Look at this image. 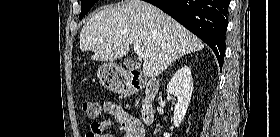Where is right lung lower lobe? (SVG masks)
<instances>
[{
    "label": "right lung lower lobe",
    "instance_id": "obj_1",
    "mask_svg": "<svg viewBox=\"0 0 280 137\" xmlns=\"http://www.w3.org/2000/svg\"><path fill=\"white\" fill-rule=\"evenodd\" d=\"M163 10L215 53L219 66L225 55L228 0H144Z\"/></svg>",
    "mask_w": 280,
    "mask_h": 137
}]
</instances>
